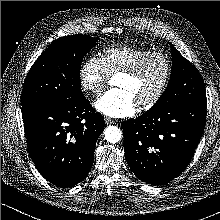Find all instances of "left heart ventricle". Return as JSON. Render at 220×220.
Instances as JSON below:
<instances>
[{"mask_svg": "<svg viewBox=\"0 0 220 220\" xmlns=\"http://www.w3.org/2000/svg\"><path fill=\"white\" fill-rule=\"evenodd\" d=\"M165 65L159 58L150 59L135 77L119 76L116 85L128 90L137 103L150 98L160 86Z\"/></svg>", "mask_w": 220, "mask_h": 220, "instance_id": "obj_1", "label": "left heart ventricle"}]
</instances>
